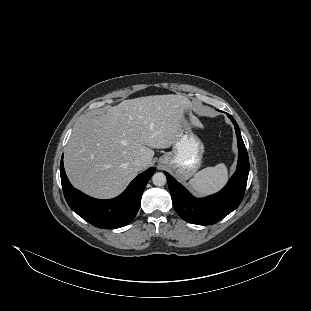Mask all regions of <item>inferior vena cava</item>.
<instances>
[{"mask_svg":"<svg viewBox=\"0 0 311 311\" xmlns=\"http://www.w3.org/2000/svg\"><path fill=\"white\" fill-rule=\"evenodd\" d=\"M141 163H142L141 158H137V159L135 160V164H136L137 166H140Z\"/></svg>","mask_w":311,"mask_h":311,"instance_id":"obj_1","label":"inferior vena cava"}]
</instances>
